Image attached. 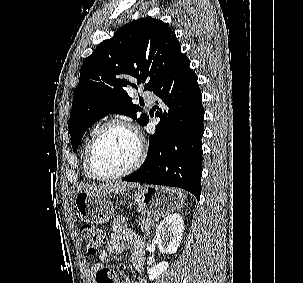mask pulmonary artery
<instances>
[{
    "label": "pulmonary artery",
    "instance_id": "1",
    "mask_svg": "<svg viewBox=\"0 0 303 283\" xmlns=\"http://www.w3.org/2000/svg\"><path fill=\"white\" fill-rule=\"evenodd\" d=\"M143 97L149 104H152L155 101V95H154V93H152L150 91H144Z\"/></svg>",
    "mask_w": 303,
    "mask_h": 283
}]
</instances>
